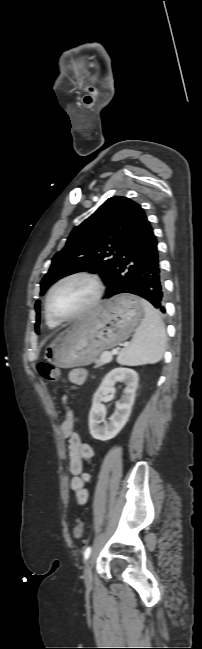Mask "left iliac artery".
Masks as SVG:
<instances>
[{
	"label": "left iliac artery",
	"mask_w": 202,
	"mask_h": 649,
	"mask_svg": "<svg viewBox=\"0 0 202 649\" xmlns=\"http://www.w3.org/2000/svg\"><path fill=\"white\" fill-rule=\"evenodd\" d=\"M91 554V547H87L84 551V559L87 560Z\"/></svg>",
	"instance_id": "obj_1"
}]
</instances>
